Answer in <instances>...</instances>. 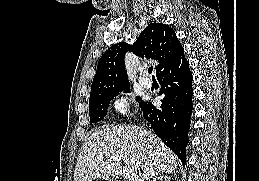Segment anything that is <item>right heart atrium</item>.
<instances>
[{"instance_id": "d8ad5b80", "label": "right heart atrium", "mask_w": 259, "mask_h": 181, "mask_svg": "<svg viewBox=\"0 0 259 181\" xmlns=\"http://www.w3.org/2000/svg\"><path fill=\"white\" fill-rule=\"evenodd\" d=\"M111 110L118 114L125 116L129 113L131 103L126 95H117L111 100Z\"/></svg>"}]
</instances>
